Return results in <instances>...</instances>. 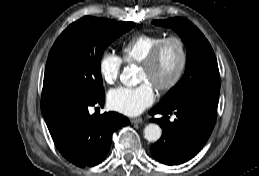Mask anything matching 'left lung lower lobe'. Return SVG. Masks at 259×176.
<instances>
[{
	"instance_id": "left-lung-lower-lobe-1",
	"label": "left lung lower lobe",
	"mask_w": 259,
	"mask_h": 176,
	"mask_svg": "<svg viewBox=\"0 0 259 176\" xmlns=\"http://www.w3.org/2000/svg\"><path fill=\"white\" fill-rule=\"evenodd\" d=\"M217 106L206 101L191 100L165 108L156 106L151 115L164 117L151 119L162 127L161 138L151 146L153 157L167 165L182 164L194 157L207 142L215 126ZM172 113L176 119L170 122Z\"/></svg>"
}]
</instances>
